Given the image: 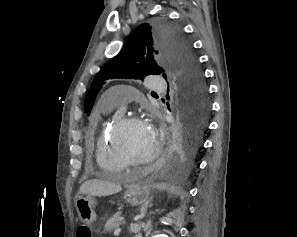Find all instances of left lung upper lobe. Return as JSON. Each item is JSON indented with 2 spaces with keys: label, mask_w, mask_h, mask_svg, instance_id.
Here are the masks:
<instances>
[{
  "label": "left lung upper lobe",
  "mask_w": 297,
  "mask_h": 237,
  "mask_svg": "<svg viewBox=\"0 0 297 237\" xmlns=\"http://www.w3.org/2000/svg\"><path fill=\"white\" fill-rule=\"evenodd\" d=\"M157 61L165 62L175 71L177 92L185 94L197 105L208 104L205 83L191 45L178 27L159 21L152 26H138L122 51L96 74L85 97V112L89 114L105 80H143L150 74L166 77Z\"/></svg>",
  "instance_id": "5c2ea615"
}]
</instances>
